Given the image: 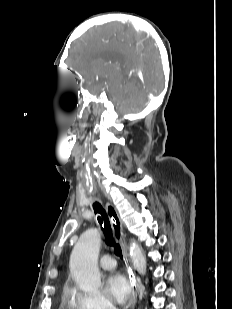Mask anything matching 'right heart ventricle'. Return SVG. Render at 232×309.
I'll list each match as a JSON object with an SVG mask.
<instances>
[{"mask_svg": "<svg viewBox=\"0 0 232 309\" xmlns=\"http://www.w3.org/2000/svg\"><path fill=\"white\" fill-rule=\"evenodd\" d=\"M63 306L69 309H76L74 305H70V304H64Z\"/></svg>", "mask_w": 232, "mask_h": 309, "instance_id": "1", "label": "right heart ventricle"}]
</instances>
